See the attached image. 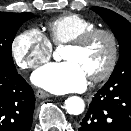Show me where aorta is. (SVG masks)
I'll list each match as a JSON object with an SVG mask.
<instances>
[{"label":"aorta","instance_id":"762f6f07","mask_svg":"<svg viewBox=\"0 0 131 131\" xmlns=\"http://www.w3.org/2000/svg\"><path fill=\"white\" fill-rule=\"evenodd\" d=\"M85 104L82 98L71 96L65 101V109L71 115H79L84 111Z\"/></svg>","mask_w":131,"mask_h":131}]
</instances>
